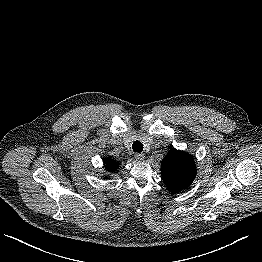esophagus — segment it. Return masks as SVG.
<instances>
[{"label": "esophagus", "mask_w": 262, "mask_h": 262, "mask_svg": "<svg viewBox=\"0 0 262 262\" xmlns=\"http://www.w3.org/2000/svg\"><path fill=\"white\" fill-rule=\"evenodd\" d=\"M135 159L137 160V161H144L145 160V155L144 154H140V153H137V154H135Z\"/></svg>", "instance_id": "esophagus-1"}]
</instances>
